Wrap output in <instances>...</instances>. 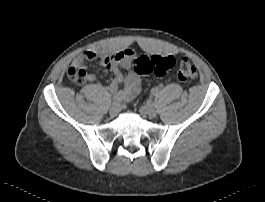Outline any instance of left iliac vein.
Wrapping results in <instances>:
<instances>
[{"label": "left iliac vein", "instance_id": "1", "mask_svg": "<svg viewBox=\"0 0 265 202\" xmlns=\"http://www.w3.org/2000/svg\"><path fill=\"white\" fill-rule=\"evenodd\" d=\"M140 112L142 114L147 115L150 118H154L157 115L156 108H155L154 104L151 101H149L146 104H144L143 106H141L140 107Z\"/></svg>", "mask_w": 265, "mask_h": 202}]
</instances>
